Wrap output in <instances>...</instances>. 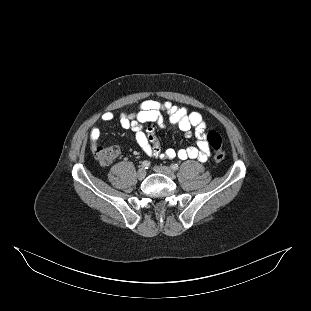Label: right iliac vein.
<instances>
[{
	"label": "right iliac vein",
	"mask_w": 311,
	"mask_h": 311,
	"mask_svg": "<svg viewBox=\"0 0 311 311\" xmlns=\"http://www.w3.org/2000/svg\"><path fill=\"white\" fill-rule=\"evenodd\" d=\"M146 176V171L143 169V168H140L138 171H137V178L139 180H143Z\"/></svg>",
	"instance_id": "1"
}]
</instances>
